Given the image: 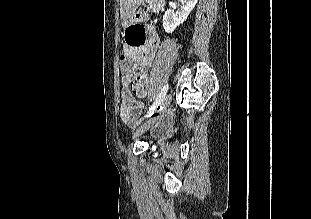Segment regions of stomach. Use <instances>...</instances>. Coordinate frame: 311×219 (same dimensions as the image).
Wrapping results in <instances>:
<instances>
[{
  "mask_svg": "<svg viewBox=\"0 0 311 219\" xmlns=\"http://www.w3.org/2000/svg\"><path fill=\"white\" fill-rule=\"evenodd\" d=\"M143 1L144 0H133L132 7L134 8V11L126 19L127 22H129V23L143 22V21H147L149 19L147 12L136 11L137 6L139 4H141Z\"/></svg>",
  "mask_w": 311,
  "mask_h": 219,
  "instance_id": "obj_1",
  "label": "stomach"
}]
</instances>
